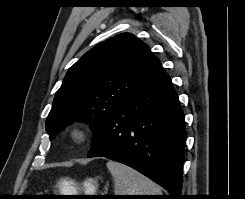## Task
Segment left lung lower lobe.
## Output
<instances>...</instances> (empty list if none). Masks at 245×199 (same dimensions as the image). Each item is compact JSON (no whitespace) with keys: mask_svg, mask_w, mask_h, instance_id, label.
I'll list each match as a JSON object with an SVG mask.
<instances>
[{"mask_svg":"<svg viewBox=\"0 0 245 199\" xmlns=\"http://www.w3.org/2000/svg\"><path fill=\"white\" fill-rule=\"evenodd\" d=\"M184 113L162 65L153 78L107 119L88 157L123 163L172 193L182 188Z\"/></svg>","mask_w":245,"mask_h":199,"instance_id":"left-lung-lower-lobe-1","label":"left lung lower lobe"}]
</instances>
